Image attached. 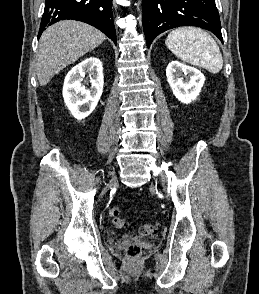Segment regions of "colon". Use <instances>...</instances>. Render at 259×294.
I'll return each mask as SVG.
<instances>
[{
	"mask_svg": "<svg viewBox=\"0 0 259 294\" xmlns=\"http://www.w3.org/2000/svg\"><path fill=\"white\" fill-rule=\"evenodd\" d=\"M108 214L117 228L124 229L128 227V223L119 217L120 209L117 206H111L108 210ZM138 231L142 236H151L157 232V227L153 224H143L139 227ZM125 252L129 258L136 259L141 254V248L137 244H130L127 246Z\"/></svg>",
	"mask_w": 259,
	"mask_h": 294,
	"instance_id": "colon-1",
	"label": "colon"
}]
</instances>
